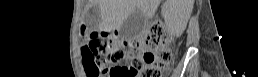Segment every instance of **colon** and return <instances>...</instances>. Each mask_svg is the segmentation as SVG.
Instances as JSON below:
<instances>
[{"label": "colon", "mask_w": 258, "mask_h": 77, "mask_svg": "<svg viewBox=\"0 0 258 77\" xmlns=\"http://www.w3.org/2000/svg\"><path fill=\"white\" fill-rule=\"evenodd\" d=\"M174 58L171 37L163 23H153L137 39L128 41L127 49H111L108 36L92 32L83 49V59L90 76L105 73L109 77H162Z\"/></svg>", "instance_id": "obj_1"}]
</instances>
